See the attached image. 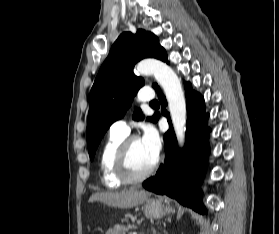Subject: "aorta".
I'll use <instances>...</instances> for the list:
<instances>
[{"label": "aorta", "instance_id": "1", "mask_svg": "<svg viewBox=\"0 0 279 234\" xmlns=\"http://www.w3.org/2000/svg\"><path fill=\"white\" fill-rule=\"evenodd\" d=\"M135 72L138 75H153L163 88L178 144L182 147L186 129V102L178 76L167 64L155 59L139 62Z\"/></svg>", "mask_w": 279, "mask_h": 234}]
</instances>
